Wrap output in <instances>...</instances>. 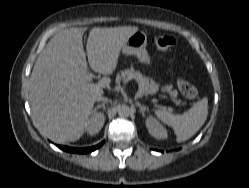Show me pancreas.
I'll list each match as a JSON object with an SVG mask.
<instances>
[{
    "label": "pancreas",
    "instance_id": "obj_1",
    "mask_svg": "<svg viewBox=\"0 0 249 188\" xmlns=\"http://www.w3.org/2000/svg\"><path fill=\"white\" fill-rule=\"evenodd\" d=\"M131 79H134L138 83L139 93L141 95L147 96L148 94H154L159 89V86L152 79L150 80L132 66L117 74L116 83L119 84L121 81H129ZM162 90L167 91L172 97L177 96V91L172 90V85H167Z\"/></svg>",
    "mask_w": 249,
    "mask_h": 188
}]
</instances>
